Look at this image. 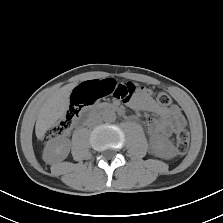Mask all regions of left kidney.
Listing matches in <instances>:
<instances>
[{"mask_svg":"<svg viewBox=\"0 0 223 223\" xmlns=\"http://www.w3.org/2000/svg\"><path fill=\"white\" fill-rule=\"evenodd\" d=\"M152 150L154 154L162 158H172L175 156V147L168 139H159L153 142Z\"/></svg>","mask_w":223,"mask_h":223,"instance_id":"obj_1","label":"left kidney"}]
</instances>
